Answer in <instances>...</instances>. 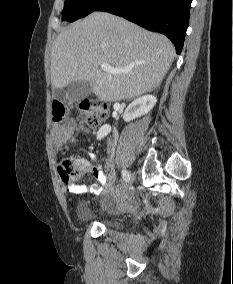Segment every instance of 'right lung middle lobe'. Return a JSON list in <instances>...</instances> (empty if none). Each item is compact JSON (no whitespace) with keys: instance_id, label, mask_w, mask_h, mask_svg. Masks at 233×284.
Masks as SVG:
<instances>
[{"instance_id":"1","label":"right lung middle lobe","mask_w":233,"mask_h":284,"mask_svg":"<svg viewBox=\"0 0 233 284\" xmlns=\"http://www.w3.org/2000/svg\"><path fill=\"white\" fill-rule=\"evenodd\" d=\"M107 0H65L62 20L73 22L95 11Z\"/></svg>"}]
</instances>
